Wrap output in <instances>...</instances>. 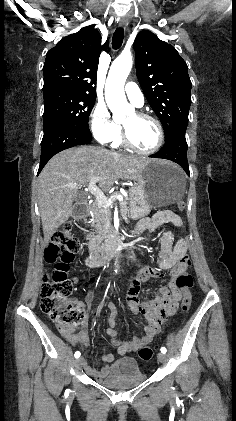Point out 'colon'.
Returning <instances> with one entry per match:
<instances>
[{
	"label": "colon",
	"mask_w": 236,
	"mask_h": 421,
	"mask_svg": "<svg viewBox=\"0 0 236 421\" xmlns=\"http://www.w3.org/2000/svg\"><path fill=\"white\" fill-rule=\"evenodd\" d=\"M179 211L185 209V203L176 204ZM78 249V242L72 234V226L65 223L58 229L45 250V259L54 265L52 271L44 276L41 286V309L55 323L59 330H70L83 323L86 315L83 307L72 304L68 297L75 288V280L69 276V264L73 261ZM191 261L183 256L176 266V287L182 293L180 310L186 313L191 305V288L193 278L188 272ZM155 349L145 346L140 349L139 356L148 361Z\"/></svg>",
	"instance_id": "5ec220e1"
}]
</instances>
